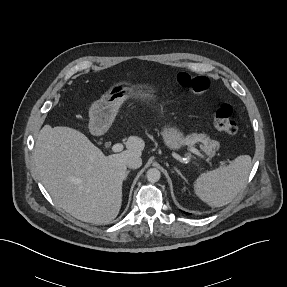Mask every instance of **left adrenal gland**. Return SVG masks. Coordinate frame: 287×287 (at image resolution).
I'll return each instance as SVG.
<instances>
[{
    "label": "left adrenal gland",
    "mask_w": 287,
    "mask_h": 287,
    "mask_svg": "<svg viewBox=\"0 0 287 287\" xmlns=\"http://www.w3.org/2000/svg\"><path fill=\"white\" fill-rule=\"evenodd\" d=\"M174 169H175V171L180 175V177H181L182 179L186 180L185 177H184V176L182 175V173L180 172V170H178L176 167H175Z\"/></svg>",
    "instance_id": "left-adrenal-gland-1"
}]
</instances>
